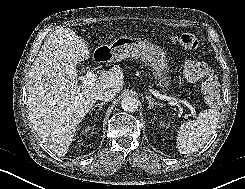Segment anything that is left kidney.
Returning <instances> with one entry per match:
<instances>
[{
    "label": "left kidney",
    "mask_w": 245,
    "mask_h": 189,
    "mask_svg": "<svg viewBox=\"0 0 245 189\" xmlns=\"http://www.w3.org/2000/svg\"><path fill=\"white\" fill-rule=\"evenodd\" d=\"M160 126H163V127L165 126L164 121H161V122H160Z\"/></svg>",
    "instance_id": "5707ae66"
}]
</instances>
